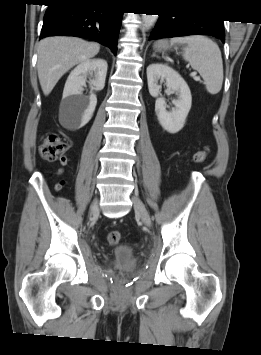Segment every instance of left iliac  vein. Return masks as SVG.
<instances>
[{
	"mask_svg": "<svg viewBox=\"0 0 261 355\" xmlns=\"http://www.w3.org/2000/svg\"><path fill=\"white\" fill-rule=\"evenodd\" d=\"M132 201L137 215L141 218L146 226L150 227L151 218L143 202L137 196H134Z\"/></svg>",
	"mask_w": 261,
	"mask_h": 355,
	"instance_id": "4c4485c4",
	"label": "left iliac vein"
}]
</instances>
